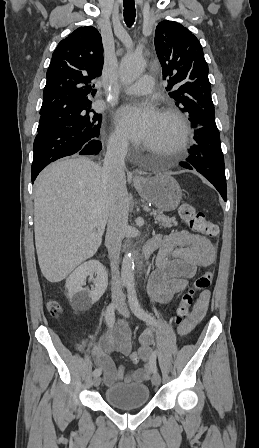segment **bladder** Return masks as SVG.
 <instances>
[{
  "mask_svg": "<svg viewBox=\"0 0 259 448\" xmlns=\"http://www.w3.org/2000/svg\"><path fill=\"white\" fill-rule=\"evenodd\" d=\"M104 396L113 407L131 410L148 403L150 390L143 383H116L106 388Z\"/></svg>",
  "mask_w": 259,
  "mask_h": 448,
  "instance_id": "31cf9c89",
  "label": "bladder"
}]
</instances>
